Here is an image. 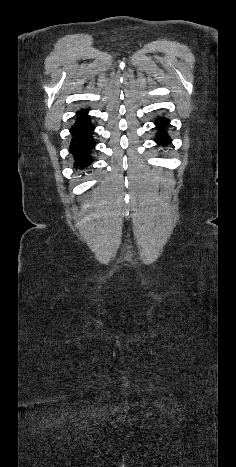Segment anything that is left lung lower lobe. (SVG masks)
I'll list each match as a JSON object with an SVG mask.
<instances>
[{"label":"left lung lower lobe","instance_id":"obj_1","mask_svg":"<svg viewBox=\"0 0 236 467\" xmlns=\"http://www.w3.org/2000/svg\"><path fill=\"white\" fill-rule=\"evenodd\" d=\"M169 123L170 121L166 118H158V120L155 122V125L159 129V133L156 137V142L158 144H162L165 146L171 142L167 135L164 133V130Z\"/></svg>","mask_w":236,"mask_h":467}]
</instances>
